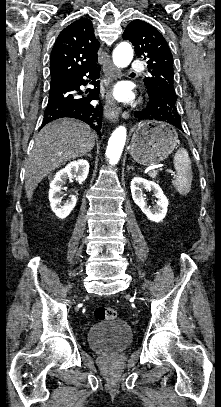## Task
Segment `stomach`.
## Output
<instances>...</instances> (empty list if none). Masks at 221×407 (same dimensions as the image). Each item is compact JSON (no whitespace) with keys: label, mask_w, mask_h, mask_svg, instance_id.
Returning a JSON list of instances; mask_svg holds the SVG:
<instances>
[{"label":"stomach","mask_w":221,"mask_h":407,"mask_svg":"<svg viewBox=\"0 0 221 407\" xmlns=\"http://www.w3.org/2000/svg\"><path fill=\"white\" fill-rule=\"evenodd\" d=\"M178 142V134L171 125L154 120L143 121L134 127L130 155L141 165H155L165 160Z\"/></svg>","instance_id":"1"}]
</instances>
